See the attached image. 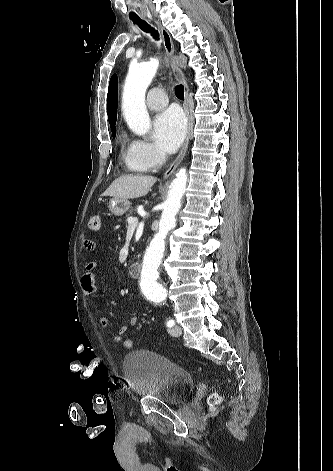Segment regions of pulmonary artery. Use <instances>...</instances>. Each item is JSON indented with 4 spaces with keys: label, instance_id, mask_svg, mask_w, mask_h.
Wrapping results in <instances>:
<instances>
[{
    "label": "pulmonary artery",
    "instance_id": "1",
    "mask_svg": "<svg viewBox=\"0 0 333 471\" xmlns=\"http://www.w3.org/2000/svg\"><path fill=\"white\" fill-rule=\"evenodd\" d=\"M146 104L151 110H160L168 104V98L161 88H153L149 91Z\"/></svg>",
    "mask_w": 333,
    "mask_h": 471
}]
</instances>
